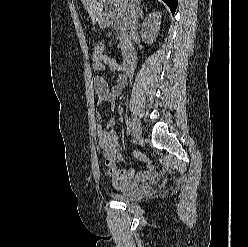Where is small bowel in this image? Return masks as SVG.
Listing matches in <instances>:
<instances>
[{
  "instance_id": "obj_1",
  "label": "small bowel",
  "mask_w": 248,
  "mask_h": 247,
  "mask_svg": "<svg viewBox=\"0 0 248 247\" xmlns=\"http://www.w3.org/2000/svg\"><path fill=\"white\" fill-rule=\"evenodd\" d=\"M108 69L112 73H118L117 83L112 88L109 87L105 78L101 75H96L93 80L94 91L96 96V104L102 107L109 103L114 106L116 98L121 93L125 83V71L123 66L119 64L113 57L109 55L97 56L93 55V70L100 73ZM96 119L101 121L97 128L100 147L103 150L105 165L107 167V176L112 184L118 188H131L138 185L149 178L147 170L135 172L133 167L123 159L119 153V136L113 130L115 119L104 115L102 112L96 114ZM106 119L105 121H103ZM122 162L124 168H119L117 163Z\"/></svg>"
}]
</instances>
